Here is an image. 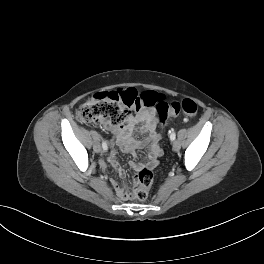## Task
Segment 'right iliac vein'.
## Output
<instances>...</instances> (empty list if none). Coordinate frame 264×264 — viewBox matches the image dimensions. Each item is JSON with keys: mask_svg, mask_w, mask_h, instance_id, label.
<instances>
[{"mask_svg": "<svg viewBox=\"0 0 264 264\" xmlns=\"http://www.w3.org/2000/svg\"><path fill=\"white\" fill-rule=\"evenodd\" d=\"M94 151L97 152V153H99L101 151V146L99 144H96L94 146Z\"/></svg>", "mask_w": 264, "mask_h": 264, "instance_id": "obj_1", "label": "right iliac vein"}]
</instances>
